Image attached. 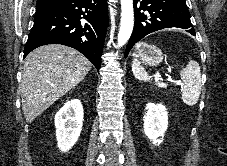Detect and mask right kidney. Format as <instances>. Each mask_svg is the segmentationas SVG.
<instances>
[{
    "label": "right kidney",
    "instance_id": "right-kidney-1",
    "mask_svg": "<svg viewBox=\"0 0 227 166\" xmlns=\"http://www.w3.org/2000/svg\"><path fill=\"white\" fill-rule=\"evenodd\" d=\"M83 107L81 101L73 99L55 115L56 138L62 152L69 151L77 142L83 126Z\"/></svg>",
    "mask_w": 227,
    "mask_h": 166
}]
</instances>
